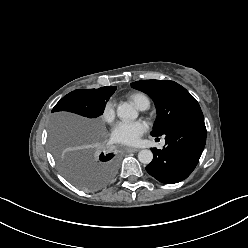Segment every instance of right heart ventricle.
<instances>
[{"mask_svg":"<svg viewBox=\"0 0 248 248\" xmlns=\"http://www.w3.org/2000/svg\"><path fill=\"white\" fill-rule=\"evenodd\" d=\"M129 98L132 100L135 106L138 107L139 109L143 107L148 108L150 105V100L144 93L135 92V93L130 94Z\"/></svg>","mask_w":248,"mask_h":248,"instance_id":"right-heart-ventricle-1","label":"right heart ventricle"}]
</instances>
